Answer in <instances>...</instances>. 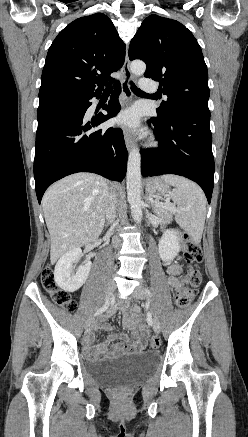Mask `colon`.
<instances>
[{
  "instance_id": "obj_1",
  "label": "colon",
  "mask_w": 248,
  "mask_h": 437,
  "mask_svg": "<svg viewBox=\"0 0 248 437\" xmlns=\"http://www.w3.org/2000/svg\"><path fill=\"white\" fill-rule=\"evenodd\" d=\"M183 245L184 256L186 263L189 266V272L185 277H183L182 284L175 293V301L180 307H186L190 303L202 281L201 273L198 270V265L202 261V250L200 245L187 237L183 240ZM41 282L46 292L51 296L56 304L63 307L68 312H73L76 309V302L67 292L61 290L57 286L51 266H46L43 269ZM148 346L149 349L155 350L159 348L160 340L157 337H151Z\"/></svg>"
}]
</instances>
